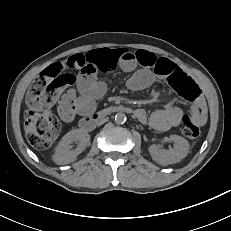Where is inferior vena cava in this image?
Here are the masks:
<instances>
[{"label": "inferior vena cava", "mask_w": 231, "mask_h": 231, "mask_svg": "<svg viewBox=\"0 0 231 231\" xmlns=\"http://www.w3.org/2000/svg\"><path fill=\"white\" fill-rule=\"evenodd\" d=\"M110 121V118L109 117H105L103 119H101L99 122H98V125L99 126H102L103 124H105L106 122H109Z\"/></svg>", "instance_id": "602c4592"}]
</instances>
